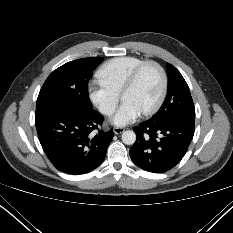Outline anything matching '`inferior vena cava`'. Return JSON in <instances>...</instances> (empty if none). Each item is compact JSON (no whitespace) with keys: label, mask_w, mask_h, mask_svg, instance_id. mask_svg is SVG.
I'll list each match as a JSON object with an SVG mask.
<instances>
[{"label":"inferior vena cava","mask_w":233,"mask_h":233,"mask_svg":"<svg viewBox=\"0 0 233 233\" xmlns=\"http://www.w3.org/2000/svg\"><path fill=\"white\" fill-rule=\"evenodd\" d=\"M103 113H105V114H112L113 113V109L105 107V108H103Z\"/></svg>","instance_id":"1"}]
</instances>
